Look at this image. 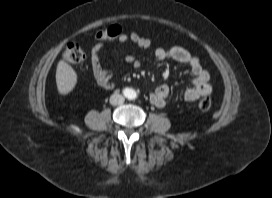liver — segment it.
<instances>
[{
	"label": "liver",
	"mask_w": 272,
	"mask_h": 198,
	"mask_svg": "<svg viewBox=\"0 0 272 198\" xmlns=\"http://www.w3.org/2000/svg\"><path fill=\"white\" fill-rule=\"evenodd\" d=\"M77 74L64 60H60L56 69V84L60 94L70 93L76 86Z\"/></svg>",
	"instance_id": "1"
}]
</instances>
